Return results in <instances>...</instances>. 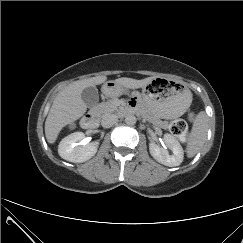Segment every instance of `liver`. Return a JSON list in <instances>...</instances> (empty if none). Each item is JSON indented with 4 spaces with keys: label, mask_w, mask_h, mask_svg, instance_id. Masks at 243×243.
Segmentation results:
<instances>
[{
    "label": "liver",
    "mask_w": 243,
    "mask_h": 243,
    "mask_svg": "<svg viewBox=\"0 0 243 243\" xmlns=\"http://www.w3.org/2000/svg\"><path fill=\"white\" fill-rule=\"evenodd\" d=\"M153 79L154 77L142 80L122 77L116 79L115 82L126 88L137 89L147 86ZM106 80V76L79 80L57 94L45 121V136L48 143L53 144L63 127L75 122L85 114L87 106L82 100V91L87 87L102 84Z\"/></svg>",
    "instance_id": "6515ba94"
}]
</instances>
